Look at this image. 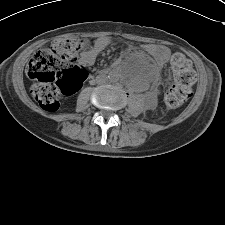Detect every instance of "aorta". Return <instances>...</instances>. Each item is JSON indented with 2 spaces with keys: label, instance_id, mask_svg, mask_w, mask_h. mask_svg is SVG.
I'll return each instance as SVG.
<instances>
[{
  "label": "aorta",
  "instance_id": "aorta-1",
  "mask_svg": "<svg viewBox=\"0 0 225 225\" xmlns=\"http://www.w3.org/2000/svg\"><path fill=\"white\" fill-rule=\"evenodd\" d=\"M109 79H110V81H112V82H116L118 79H117V77L115 76V75H110L109 76Z\"/></svg>",
  "mask_w": 225,
  "mask_h": 225
}]
</instances>
